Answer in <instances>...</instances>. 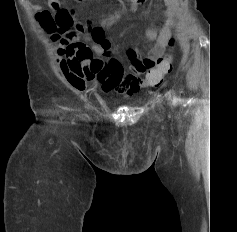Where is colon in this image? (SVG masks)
<instances>
[{"mask_svg": "<svg viewBox=\"0 0 237 232\" xmlns=\"http://www.w3.org/2000/svg\"><path fill=\"white\" fill-rule=\"evenodd\" d=\"M144 1L133 0L134 3ZM49 6L51 10H44L38 14V21L43 28L51 33L52 39L61 38L65 42L75 38L79 33H89L95 30L88 22H75L73 13L63 5L62 0H49ZM174 44V39H169V46L173 47ZM171 70L172 55L167 54L158 60L154 69L148 71L145 83L148 86H159L162 84L164 76Z\"/></svg>", "mask_w": 237, "mask_h": 232, "instance_id": "colon-1", "label": "colon"}]
</instances>
